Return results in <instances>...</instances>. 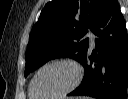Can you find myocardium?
<instances>
[{
    "label": "myocardium",
    "mask_w": 128,
    "mask_h": 99,
    "mask_svg": "<svg viewBox=\"0 0 128 99\" xmlns=\"http://www.w3.org/2000/svg\"><path fill=\"white\" fill-rule=\"evenodd\" d=\"M60 64L69 65V66H71L74 69L75 74H76L74 82L68 88H66L65 90H63V91H61V92H59L57 94L48 95V96L36 95L34 93V84H35V81H36L38 75L40 74V72L43 71L44 69L48 68V67H51V66H54V65H60ZM82 79H83V70H82V68H81V66L79 65L78 62H76L73 59H69V58L57 59V60L50 61V62L42 65L35 72L32 80L30 82V85H29V93L34 98H36V97H43L44 99H57V98H61L63 96H66V95L70 94L72 91H74L80 85V83L82 82Z\"/></svg>",
    "instance_id": "f54148a6"
}]
</instances>
